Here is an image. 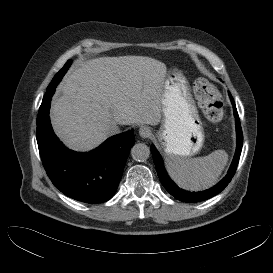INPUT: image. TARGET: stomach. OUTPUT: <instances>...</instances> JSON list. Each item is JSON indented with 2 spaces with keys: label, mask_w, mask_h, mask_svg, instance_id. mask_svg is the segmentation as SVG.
Here are the masks:
<instances>
[{
  "label": "stomach",
  "mask_w": 273,
  "mask_h": 273,
  "mask_svg": "<svg viewBox=\"0 0 273 273\" xmlns=\"http://www.w3.org/2000/svg\"><path fill=\"white\" fill-rule=\"evenodd\" d=\"M161 127L157 134L167 157L184 158L198 153L205 135L188 81L182 71H167L161 88Z\"/></svg>",
  "instance_id": "stomach-1"
}]
</instances>
